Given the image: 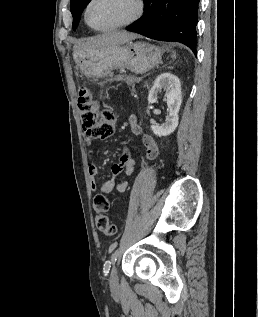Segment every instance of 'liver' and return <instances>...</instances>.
Wrapping results in <instances>:
<instances>
[{
	"mask_svg": "<svg viewBox=\"0 0 258 317\" xmlns=\"http://www.w3.org/2000/svg\"><path fill=\"white\" fill-rule=\"evenodd\" d=\"M137 38L134 32L127 30H119V32H103L98 36H90V38H79L75 40L74 50H92V48H101V46H110V44H124Z\"/></svg>",
	"mask_w": 258,
	"mask_h": 317,
	"instance_id": "1",
	"label": "liver"
}]
</instances>
